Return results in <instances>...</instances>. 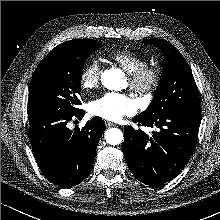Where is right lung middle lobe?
<instances>
[{
    "label": "right lung middle lobe",
    "mask_w": 220,
    "mask_h": 220,
    "mask_svg": "<svg viewBox=\"0 0 220 220\" xmlns=\"http://www.w3.org/2000/svg\"><path fill=\"white\" fill-rule=\"evenodd\" d=\"M101 44L89 39L64 42L38 65L31 80L28 114L74 113L81 104V77L86 58Z\"/></svg>",
    "instance_id": "1"
}]
</instances>
